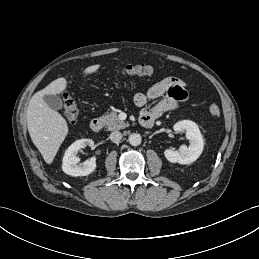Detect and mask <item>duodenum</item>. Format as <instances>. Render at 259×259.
I'll list each match as a JSON object with an SVG mask.
<instances>
[{
	"label": "duodenum",
	"mask_w": 259,
	"mask_h": 259,
	"mask_svg": "<svg viewBox=\"0 0 259 259\" xmlns=\"http://www.w3.org/2000/svg\"><path fill=\"white\" fill-rule=\"evenodd\" d=\"M154 119L148 117V116H141L140 122L144 126H150L153 123ZM103 127V122L99 118H94L90 122V129L93 132H99Z\"/></svg>",
	"instance_id": "obj_1"
}]
</instances>
